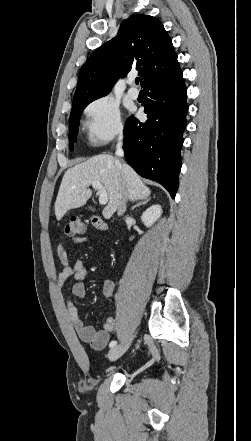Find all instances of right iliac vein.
Listing matches in <instances>:
<instances>
[{
	"instance_id": "obj_1",
	"label": "right iliac vein",
	"mask_w": 251,
	"mask_h": 441,
	"mask_svg": "<svg viewBox=\"0 0 251 441\" xmlns=\"http://www.w3.org/2000/svg\"><path fill=\"white\" fill-rule=\"evenodd\" d=\"M129 346H130V342L113 347L108 353V359L110 361L117 360L128 350Z\"/></svg>"
}]
</instances>
